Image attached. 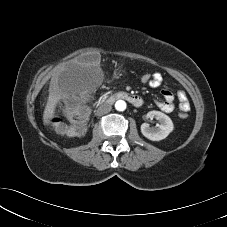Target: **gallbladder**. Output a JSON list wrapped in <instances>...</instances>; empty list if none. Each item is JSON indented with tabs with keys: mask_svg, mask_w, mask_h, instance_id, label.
<instances>
[{
	"mask_svg": "<svg viewBox=\"0 0 227 227\" xmlns=\"http://www.w3.org/2000/svg\"><path fill=\"white\" fill-rule=\"evenodd\" d=\"M82 60H89L93 63H98L99 61V56L98 55H87L85 57L82 58Z\"/></svg>",
	"mask_w": 227,
	"mask_h": 227,
	"instance_id": "obj_1",
	"label": "gallbladder"
}]
</instances>
